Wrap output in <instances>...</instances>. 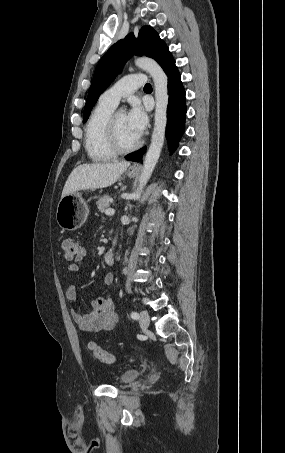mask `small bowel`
<instances>
[{"label":"small bowel","instance_id":"obj_1","mask_svg":"<svg viewBox=\"0 0 285 453\" xmlns=\"http://www.w3.org/2000/svg\"><path fill=\"white\" fill-rule=\"evenodd\" d=\"M86 251L80 250V254L75 262L68 267L71 273H78L84 265ZM114 276L112 273H107L104 276L103 283L105 285L112 284ZM66 297L71 306V314L74 322L80 330L87 332L108 331L114 328L117 322L114 300L109 296L102 294L96 296L88 311H80L77 309V292L75 286L68 284L66 287Z\"/></svg>","mask_w":285,"mask_h":453}]
</instances>
